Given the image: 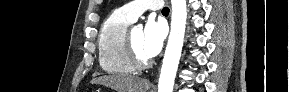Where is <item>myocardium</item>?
<instances>
[{"label":"myocardium","mask_w":289,"mask_h":92,"mask_svg":"<svg viewBox=\"0 0 289 92\" xmlns=\"http://www.w3.org/2000/svg\"><path fill=\"white\" fill-rule=\"evenodd\" d=\"M131 29L127 30L124 38V51L129 63L137 70L148 68L152 64V59H142L136 52L132 38Z\"/></svg>","instance_id":"f54148a6"}]
</instances>
